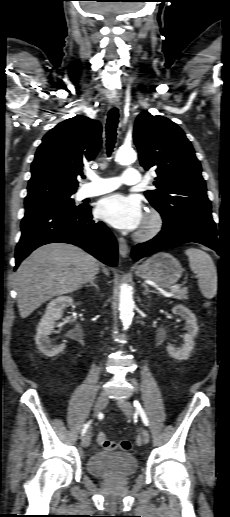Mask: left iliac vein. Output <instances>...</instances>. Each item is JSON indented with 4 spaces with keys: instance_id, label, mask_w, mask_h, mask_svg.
<instances>
[{
    "instance_id": "4c4485c4",
    "label": "left iliac vein",
    "mask_w": 230,
    "mask_h": 517,
    "mask_svg": "<svg viewBox=\"0 0 230 517\" xmlns=\"http://www.w3.org/2000/svg\"><path fill=\"white\" fill-rule=\"evenodd\" d=\"M117 404L128 418L132 417L134 413V407L127 399H119L117 401ZM149 439V432L147 429L144 428L140 435V442L147 444L149 442Z\"/></svg>"
}]
</instances>
